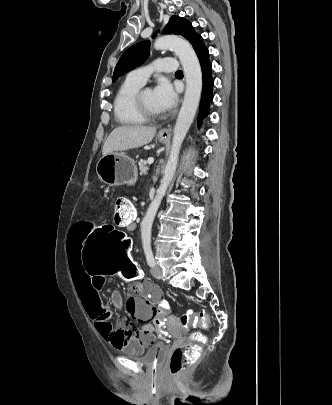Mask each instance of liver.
<instances>
[{"label": "liver", "instance_id": "obj_1", "mask_svg": "<svg viewBox=\"0 0 332 405\" xmlns=\"http://www.w3.org/2000/svg\"><path fill=\"white\" fill-rule=\"evenodd\" d=\"M156 134V128L152 126H119L115 128L106 139L102 155L115 151H123L139 148L150 143Z\"/></svg>", "mask_w": 332, "mask_h": 405}]
</instances>
